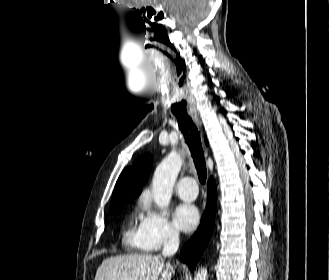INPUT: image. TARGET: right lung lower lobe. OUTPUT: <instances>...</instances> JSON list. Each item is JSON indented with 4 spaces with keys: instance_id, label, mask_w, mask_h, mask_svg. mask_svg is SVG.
<instances>
[{
    "instance_id": "obj_1",
    "label": "right lung lower lobe",
    "mask_w": 329,
    "mask_h": 280,
    "mask_svg": "<svg viewBox=\"0 0 329 280\" xmlns=\"http://www.w3.org/2000/svg\"><path fill=\"white\" fill-rule=\"evenodd\" d=\"M207 195V207L202 216L199 229L180 252L181 261L188 265L190 271L195 269L197 261L206 248L214 229L217 194L213 178L209 180Z\"/></svg>"
}]
</instances>
